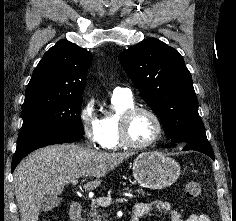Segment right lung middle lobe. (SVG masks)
Segmentation results:
<instances>
[{
    "mask_svg": "<svg viewBox=\"0 0 236 221\" xmlns=\"http://www.w3.org/2000/svg\"><path fill=\"white\" fill-rule=\"evenodd\" d=\"M81 95L33 93L25 95L23 125L18 136L39 131L83 135L80 119Z\"/></svg>",
    "mask_w": 236,
    "mask_h": 221,
    "instance_id": "dd1d6c3e",
    "label": "right lung middle lobe"
}]
</instances>
